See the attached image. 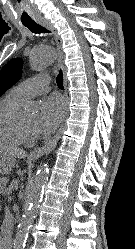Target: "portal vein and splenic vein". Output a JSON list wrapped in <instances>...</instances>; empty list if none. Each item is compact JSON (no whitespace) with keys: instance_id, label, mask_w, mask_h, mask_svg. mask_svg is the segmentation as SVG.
<instances>
[{"instance_id":"18ae733b","label":"portal vein and splenic vein","mask_w":135,"mask_h":249,"mask_svg":"<svg viewBox=\"0 0 135 249\" xmlns=\"http://www.w3.org/2000/svg\"><path fill=\"white\" fill-rule=\"evenodd\" d=\"M9 200L11 201V200H12V197H9Z\"/></svg>"}]
</instances>
